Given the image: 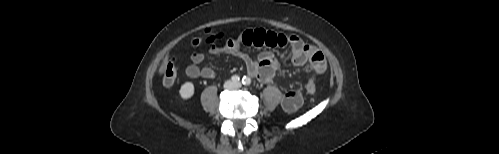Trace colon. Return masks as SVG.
Here are the masks:
<instances>
[{
    "mask_svg": "<svg viewBox=\"0 0 499 154\" xmlns=\"http://www.w3.org/2000/svg\"><path fill=\"white\" fill-rule=\"evenodd\" d=\"M198 42H199L198 39H194L192 41V44L196 45V44H198ZM177 71H178V67H177V59L176 58H171L168 61H166L161 66V69H160L162 83L165 86H171L176 79ZM306 91L311 97H314L316 95L317 86H316L314 79H312V78L308 79V81L306 83Z\"/></svg>",
    "mask_w": 499,
    "mask_h": 154,
    "instance_id": "1",
    "label": "colon"
}]
</instances>
